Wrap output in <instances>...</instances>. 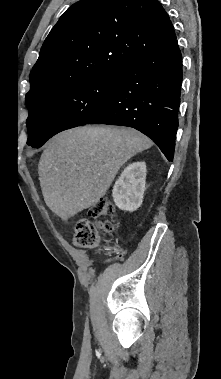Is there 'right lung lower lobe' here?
I'll list each match as a JSON object with an SVG mask.
<instances>
[{"mask_svg":"<svg viewBox=\"0 0 221 379\" xmlns=\"http://www.w3.org/2000/svg\"><path fill=\"white\" fill-rule=\"evenodd\" d=\"M182 82L177 40L121 68L113 97L88 124L133 127L173 161Z\"/></svg>","mask_w":221,"mask_h":379,"instance_id":"obj_1","label":"right lung lower lobe"}]
</instances>
